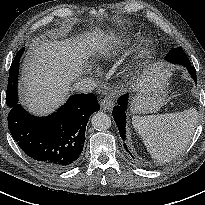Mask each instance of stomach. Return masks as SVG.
Masks as SVG:
<instances>
[{
    "label": "stomach",
    "mask_w": 205,
    "mask_h": 205,
    "mask_svg": "<svg viewBox=\"0 0 205 205\" xmlns=\"http://www.w3.org/2000/svg\"><path fill=\"white\" fill-rule=\"evenodd\" d=\"M170 82L168 78L161 80L149 90L138 91L132 97L130 110L133 114L157 112L165 103Z\"/></svg>",
    "instance_id": "obj_1"
}]
</instances>
